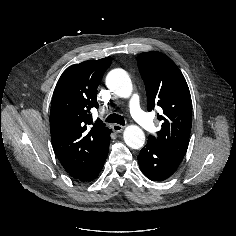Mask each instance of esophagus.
<instances>
[{"label":"esophagus","mask_w":236,"mask_h":236,"mask_svg":"<svg viewBox=\"0 0 236 236\" xmlns=\"http://www.w3.org/2000/svg\"><path fill=\"white\" fill-rule=\"evenodd\" d=\"M112 129L114 132L118 133L124 129V126L119 125V124H114V125H112Z\"/></svg>","instance_id":"1"}]
</instances>
